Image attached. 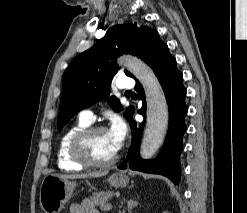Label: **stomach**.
Here are the masks:
<instances>
[{"instance_id":"obj_1","label":"stomach","mask_w":247,"mask_h":213,"mask_svg":"<svg viewBox=\"0 0 247 213\" xmlns=\"http://www.w3.org/2000/svg\"><path fill=\"white\" fill-rule=\"evenodd\" d=\"M108 182L115 188L128 185L129 178L122 172L113 173ZM76 182L54 175L44 177L40 186V206L44 213H59L73 195Z\"/></svg>"}]
</instances>
